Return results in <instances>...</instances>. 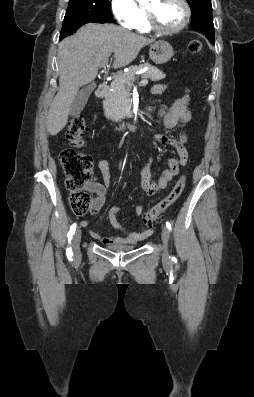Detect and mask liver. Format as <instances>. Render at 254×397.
<instances>
[{"label": "liver", "mask_w": 254, "mask_h": 397, "mask_svg": "<svg viewBox=\"0 0 254 397\" xmlns=\"http://www.w3.org/2000/svg\"><path fill=\"white\" fill-rule=\"evenodd\" d=\"M112 24L89 23L59 43V90L47 115V129L57 135L67 124L79 88L92 82L102 61L113 55V68L125 67L154 42Z\"/></svg>", "instance_id": "1"}]
</instances>
